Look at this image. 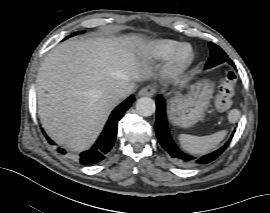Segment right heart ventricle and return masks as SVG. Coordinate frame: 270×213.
Here are the masks:
<instances>
[{"label":"right heart ventricle","instance_id":"obj_1","mask_svg":"<svg viewBox=\"0 0 270 213\" xmlns=\"http://www.w3.org/2000/svg\"><path fill=\"white\" fill-rule=\"evenodd\" d=\"M177 42L169 39L150 41L144 48V56L149 61L162 60L170 56Z\"/></svg>","mask_w":270,"mask_h":213}]
</instances>
